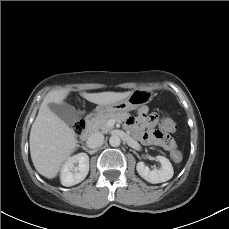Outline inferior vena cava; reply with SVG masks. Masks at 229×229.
I'll return each instance as SVG.
<instances>
[{
	"label": "inferior vena cava",
	"mask_w": 229,
	"mask_h": 229,
	"mask_svg": "<svg viewBox=\"0 0 229 229\" xmlns=\"http://www.w3.org/2000/svg\"><path fill=\"white\" fill-rule=\"evenodd\" d=\"M104 142V135L102 133H93L89 136L87 140V145L90 148H96L103 144Z\"/></svg>",
	"instance_id": "1"
}]
</instances>
